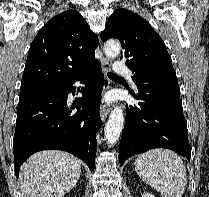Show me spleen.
<instances>
[{
	"instance_id": "3e777b00",
	"label": "spleen",
	"mask_w": 209,
	"mask_h": 197,
	"mask_svg": "<svg viewBox=\"0 0 209 197\" xmlns=\"http://www.w3.org/2000/svg\"><path fill=\"white\" fill-rule=\"evenodd\" d=\"M138 176L162 197H181L187 185L186 168L172 150L157 148L140 154L134 162Z\"/></svg>"
}]
</instances>
